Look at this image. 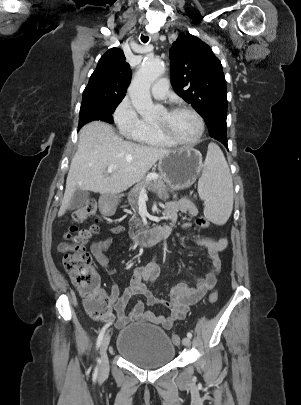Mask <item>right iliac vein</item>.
<instances>
[{
	"label": "right iliac vein",
	"mask_w": 301,
	"mask_h": 405,
	"mask_svg": "<svg viewBox=\"0 0 301 405\" xmlns=\"http://www.w3.org/2000/svg\"><path fill=\"white\" fill-rule=\"evenodd\" d=\"M110 338V334H106L102 340L100 347L99 372L101 375L106 374L109 369L107 349L109 346Z\"/></svg>",
	"instance_id": "right-iliac-vein-1"
}]
</instances>
